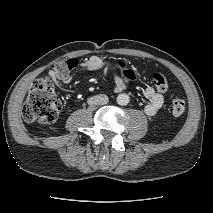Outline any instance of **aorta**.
Segmentation results:
<instances>
[{
  "instance_id": "1",
  "label": "aorta",
  "mask_w": 213,
  "mask_h": 213,
  "mask_svg": "<svg viewBox=\"0 0 213 213\" xmlns=\"http://www.w3.org/2000/svg\"><path fill=\"white\" fill-rule=\"evenodd\" d=\"M130 99L127 94H119L117 97V103L121 106H125L129 103Z\"/></svg>"
}]
</instances>
